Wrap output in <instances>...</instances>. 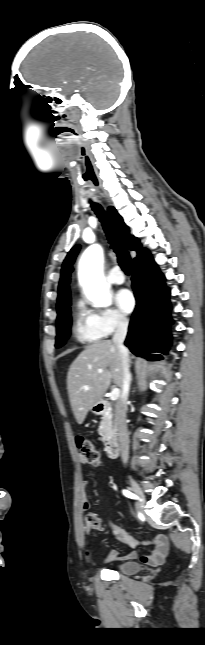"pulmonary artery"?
Returning a JSON list of instances; mask_svg holds the SVG:
<instances>
[{"label":"pulmonary artery","instance_id":"pulmonary-artery-1","mask_svg":"<svg viewBox=\"0 0 205 645\" xmlns=\"http://www.w3.org/2000/svg\"><path fill=\"white\" fill-rule=\"evenodd\" d=\"M110 280L115 284H123L125 277L119 267H114L109 273Z\"/></svg>","mask_w":205,"mask_h":645}]
</instances>
